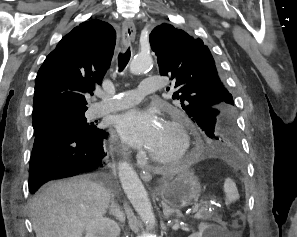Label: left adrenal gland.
Instances as JSON below:
<instances>
[{"instance_id":"left-adrenal-gland-1","label":"left adrenal gland","mask_w":297,"mask_h":237,"mask_svg":"<svg viewBox=\"0 0 297 237\" xmlns=\"http://www.w3.org/2000/svg\"><path fill=\"white\" fill-rule=\"evenodd\" d=\"M176 213L178 217L182 216V213L178 209H171L167 205H163V214L166 218Z\"/></svg>"}]
</instances>
